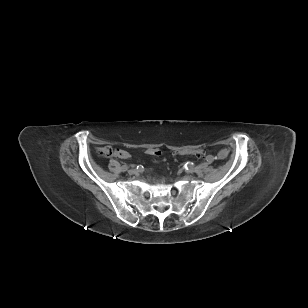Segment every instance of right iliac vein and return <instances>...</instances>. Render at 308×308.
<instances>
[{
    "mask_svg": "<svg viewBox=\"0 0 308 308\" xmlns=\"http://www.w3.org/2000/svg\"><path fill=\"white\" fill-rule=\"evenodd\" d=\"M128 173H129L130 175H133V174L136 173V170H135V169H130V170L128 171Z\"/></svg>",
    "mask_w": 308,
    "mask_h": 308,
    "instance_id": "1",
    "label": "right iliac vein"
}]
</instances>
